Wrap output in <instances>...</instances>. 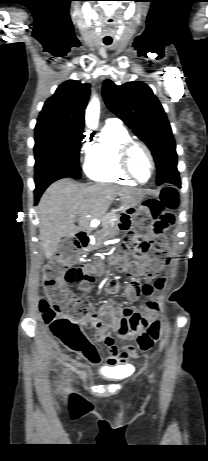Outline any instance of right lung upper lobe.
<instances>
[{
    "instance_id": "1",
    "label": "right lung upper lobe",
    "mask_w": 208,
    "mask_h": 461,
    "mask_svg": "<svg viewBox=\"0 0 208 461\" xmlns=\"http://www.w3.org/2000/svg\"><path fill=\"white\" fill-rule=\"evenodd\" d=\"M89 94V84H82L76 80L64 82L45 102L38 121H50L83 132L84 109Z\"/></svg>"
}]
</instances>
